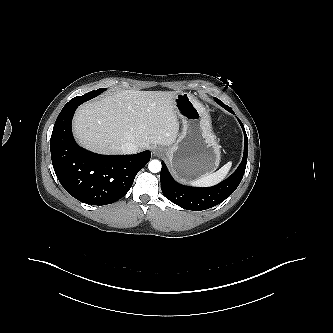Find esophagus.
Returning a JSON list of instances; mask_svg holds the SVG:
<instances>
[{"mask_svg":"<svg viewBox=\"0 0 333 333\" xmlns=\"http://www.w3.org/2000/svg\"><path fill=\"white\" fill-rule=\"evenodd\" d=\"M152 152H153L154 155H158L159 154L158 150H156V149H153Z\"/></svg>","mask_w":333,"mask_h":333,"instance_id":"obj_1","label":"esophagus"}]
</instances>
